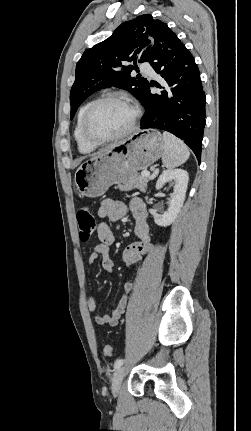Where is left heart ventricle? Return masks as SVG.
<instances>
[{"instance_id":"left-heart-ventricle-1","label":"left heart ventricle","mask_w":251,"mask_h":431,"mask_svg":"<svg viewBox=\"0 0 251 431\" xmlns=\"http://www.w3.org/2000/svg\"><path fill=\"white\" fill-rule=\"evenodd\" d=\"M133 118V109L126 103L108 101L93 113L90 133L96 138H108L126 130Z\"/></svg>"}]
</instances>
